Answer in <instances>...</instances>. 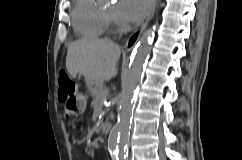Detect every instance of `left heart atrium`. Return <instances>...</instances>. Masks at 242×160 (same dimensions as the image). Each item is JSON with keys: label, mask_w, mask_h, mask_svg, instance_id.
I'll list each match as a JSON object with an SVG mask.
<instances>
[{"label": "left heart atrium", "mask_w": 242, "mask_h": 160, "mask_svg": "<svg viewBox=\"0 0 242 160\" xmlns=\"http://www.w3.org/2000/svg\"><path fill=\"white\" fill-rule=\"evenodd\" d=\"M150 7L151 0H119L115 6V17L122 24L138 23Z\"/></svg>", "instance_id": "left-heart-atrium-1"}]
</instances>
